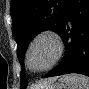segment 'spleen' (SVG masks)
<instances>
[{
    "label": "spleen",
    "instance_id": "obj_1",
    "mask_svg": "<svg viewBox=\"0 0 89 89\" xmlns=\"http://www.w3.org/2000/svg\"><path fill=\"white\" fill-rule=\"evenodd\" d=\"M67 89H89V78L81 74H68L60 78Z\"/></svg>",
    "mask_w": 89,
    "mask_h": 89
}]
</instances>
